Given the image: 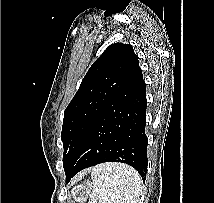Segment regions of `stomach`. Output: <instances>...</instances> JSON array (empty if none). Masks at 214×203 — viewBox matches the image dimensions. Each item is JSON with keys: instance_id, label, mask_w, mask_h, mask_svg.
<instances>
[{"instance_id": "0dacf381", "label": "stomach", "mask_w": 214, "mask_h": 203, "mask_svg": "<svg viewBox=\"0 0 214 203\" xmlns=\"http://www.w3.org/2000/svg\"><path fill=\"white\" fill-rule=\"evenodd\" d=\"M92 188L93 183L88 180L84 184L74 186L70 192V201L68 203H86Z\"/></svg>"}]
</instances>
